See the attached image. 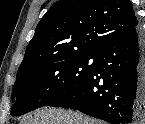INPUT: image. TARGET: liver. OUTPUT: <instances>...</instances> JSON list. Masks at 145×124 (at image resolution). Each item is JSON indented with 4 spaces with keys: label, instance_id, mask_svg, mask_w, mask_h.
Here are the masks:
<instances>
[{
    "label": "liver",
    "instance_id": "obj_1",
    "mask_svg": "<svg viewBox=\"0 0 145 124\" xmlns=\"http://www.w3.org/2000/svg\"><path fill=\"white\" fill-rule=\"evenodd\" d=\"M21 124H98L80 113L63 109H43L35 111L21 121Z\"/></svg>",
    "mask_w": 145,
    "mask_h": 124
}]
</instances>
